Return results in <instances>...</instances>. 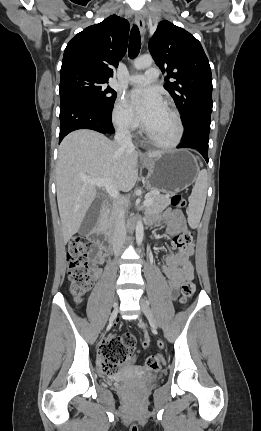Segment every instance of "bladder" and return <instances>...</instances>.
Wrapping results in <instances>:
<instances>
[{
    "mask_svg": "<svg viewBox=\"0 0 261 431\" xmlns=\"http://www.w3.org/2000/svg\"><path fill=\"white\" fill-rule=\"evenodd\" d=\"M132 371H133L132 369H128V370H127V373L120 375L118 378H119L120 380H122V381H130V380H132V379H133V376H132V375H130V374H129V372H132ZM152 382H153V379H152V378H144V379H142V380H141V383H142L143 385H149V384H151Z\"/></svg>",
    "mask_w": 261,
    "mask_h": 431,
    "instance_id": "1",
    "label": "bladder"
}]
</instances>
